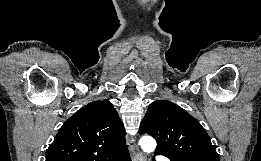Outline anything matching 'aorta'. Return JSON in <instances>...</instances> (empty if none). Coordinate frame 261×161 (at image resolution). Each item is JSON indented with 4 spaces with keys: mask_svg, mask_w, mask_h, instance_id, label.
<instances>
[{
    "mask_svg": "<svg viewBox=\"0 0 261 161\" xmlns=\"http://www.w3.org/2000/svg\"><path fill=\"white\" fill-rule=\"evenodd\" d=\"M139 145L144 152L151 153L156 148V141L151 136H143L139 141Z\"/></svg>",
    "mask_w": 261,
    "mask_h": 161,
    "instance_id": "1",
    "label": "aorta"
}]
</instances>
